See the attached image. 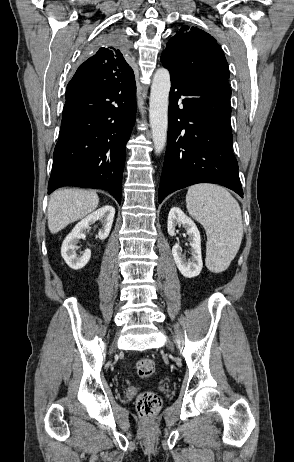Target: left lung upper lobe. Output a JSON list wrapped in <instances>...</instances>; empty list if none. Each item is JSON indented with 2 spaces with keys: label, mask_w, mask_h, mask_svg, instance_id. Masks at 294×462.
<instances>
[{
  "label": "left lung upper lobe",
  "mask_w": 294,
  "mask_h": 462,
  "mask_svg": "<svg viewBox=\"0 0 294 462\" xmlns=\"http://www.w3.org/2000/svg\"><path fill=\"white\" fill-rule=\"evenodd\" d=\"M176 79L190 82H227L229 68L216 40L196 27L184 26L169 40L161 56Z\"/></svg>",
  "instance_id": "1"
}]
</instances>
